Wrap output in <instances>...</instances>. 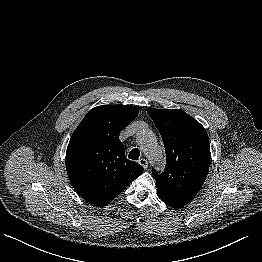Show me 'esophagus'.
Instances as JSON below:
<instances>
[{
  "mask_svg": "<svg viewBox=\"0 0 262 262\" xmlns=\"http://www.w3.org/2000/svg\"><path fill=\"white\" fill-rule=\"evenodd\" d=\"M138 163L144 167V169L148 168V161L144 158L138 160Z\"/></svg>",
  "mask_w": 262,
  "mask_h": 262,
  "instance_id": "obj_1",
  "label": "esophagus"
}]
</instances>
